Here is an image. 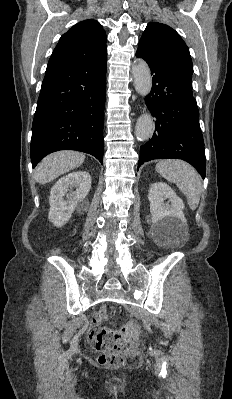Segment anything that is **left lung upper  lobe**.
Segmentation results:
<instances>
[{
	"label": "left lung upper lobe",
	"instance_id": "1",
	"mask_svg": "<svg viewBox=\"0 0 232 399\" xmlns=\"http://www.w3.org/2000/svg\"><path fill=\"white\" fill-rule=\"evenodd\" d=\"M138 47L153 51L164 58L192 87L193 65L189 49L174 29L162 23L151 22L147 25Z\"/></svg>",
	"mask_w": 232,
	"mask_h": 399
}]
</instances>
